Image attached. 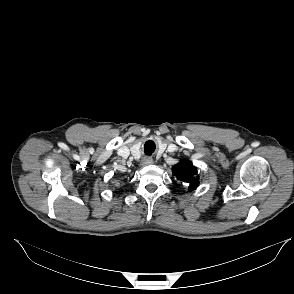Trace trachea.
I'll list each match as a JSON object with an SVG mask.
<instances>
[{
    "instance_id": "3493384b",
    "label": "trachea",
    "mask_w": 294,
    "mask_h": 294,
    "mask_svg": "<svg viewBox=\"0 0 294 294\" xmlns=\"http://www.w3.org/2000/svg\"><path fill=\"white\" fill-rule=\"evenodd\" d=\"M155 150V143L151 140L147 141L144 145V151L146 155H151Z\"/></svg>"
}]
</instances>
